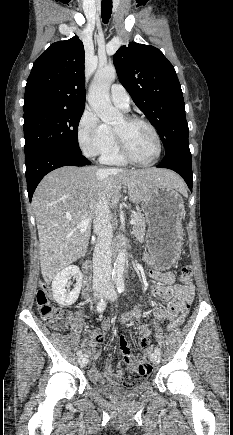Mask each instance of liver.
Here are the masks:
<instances>
[{
	"label": "liver",
	"mask_w": 233,
	"mask_h": 435,
	"mask_svg": "<svg viewBox=\"0 0 233 435\" xmlns=\"http://www.w3.org/2000/svg\"><path fill=\"white\" fill-rule=\"evenodd\" d=\"M121 185L128 188L130 200L147 199L157 186L185 192L183 180L174 172L148 168L126 170L94 166H64L47 174L36 188L32 208L39 236L41 274L46 282L81 258L90 239L89 225L81 232L78 225L97 214L99 195L114 208L119 203Z\"/></svg>",
	"instance_id": "6515ba94"
}]
</instances>
